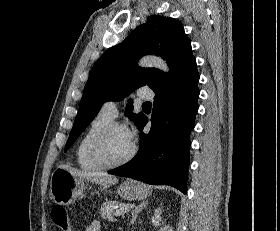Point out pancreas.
<instances>
[{"label":"pancreas","mask_w":280,"mask_h":231,"mask_svg":"<svg viewBox=\"0 0 280 231\" xmlns=\"http://www.w3.org/2000/svg\"><path fill=\"white\" fill-rule=\"evenodd\" d=\"M114 205H118L119 209H121V207H125L127 203H120V201H104L100 207V213L103 219H112Z\"/></svg>","instance_id":"cf45deb5"}]
</instances>
